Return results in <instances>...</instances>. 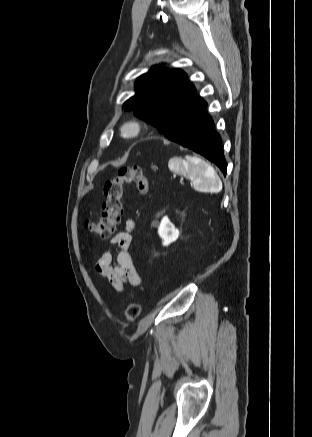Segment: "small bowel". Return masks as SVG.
Listing matches in <instances>:
<instances>
[{"instance_id": "small-bowel-1", "label": "small bowel", "mask_w": 312, "mask_h": 437, "mask_svg": "<svg viewBox=\"0 0 312 437\" xmlns=\"http://www.w3.org/2000/svg\"><path fill=\"white\" fill-rule=\"evenodd\" d=\"M134 228V219H128L125 228L113 237L112 244L117 247L115 262L112 252L107 250L96 259L94 264L95 271L107 278L117 291H123L126 285L141 284V278L129 251Z\"/></svg>"}]
</instances>
